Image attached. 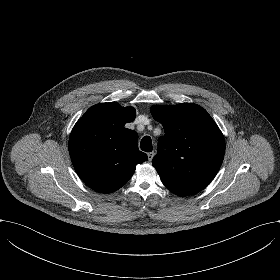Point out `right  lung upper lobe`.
I'll return each mask as SVG.
<instances>
[{
	"instance_id": "right-lung-upper-lobe-1",
	"label": "right lung upper lobe",
	"mask_w": 280,
	"mask_h": 280,
	"mask_svg": "<svg viewBox=\"0 0 280 280\" xmlns=\"http://www.w3.org/2000/svg\"><path fill=\"white\" fill-rule=\"evenodd\" d=\"M136 117L133 107L116 102L90 107L69 137L72 164L84 183L101 193H112L132 177L137 164L147 161L138 149V134L125 127Z\"/></svg>"
}]
</instances>
